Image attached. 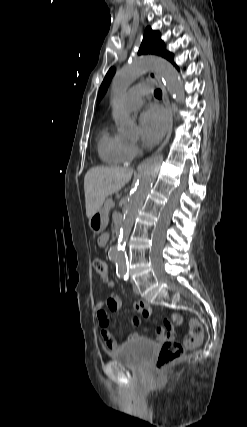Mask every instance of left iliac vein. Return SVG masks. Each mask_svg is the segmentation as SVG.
I'll return each mask as SVG.
<instances>
[{
  "label": "left iliac vein",
  "instance_id": "4c4485c4",
  "mask_svg": "<svg viewBox=\"0 0 247 427\" xmlns=\"http://www.w3.org/2000/svg\"><path fill=\"white\" fill-rule=\"evenodd\" d=\"M132 287H133V292L138 295L139 294V288H138V286L133 282L132 283Z\"/></svg>",
  "mask_w": 247,
  "mask_h": 427
}]
</instances>
